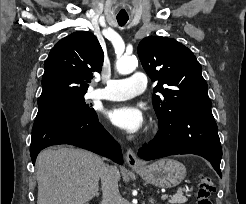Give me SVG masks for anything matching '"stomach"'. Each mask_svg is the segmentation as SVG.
Instances as JSON below:
<instances>
[{
	"instance_id": "stomach-1",
	"label": "stomach",
	"mask_w": 246,
	"mask_h": 204,
	"mask_svg": "<svg viewBox=\"0 0 246 204\" xmlns=\"http://www.w3.org/2000/svg\"><path fill=\"white\" fill-rule=\"evenodd\" d=\"M134 171L146 183L161 188L177 186L186 177L185 166L181 162L170 158L157 160L143 168H134Z\"/></svg>"
}]
</instances>
